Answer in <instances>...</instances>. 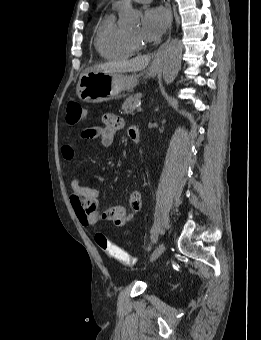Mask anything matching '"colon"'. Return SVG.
Masks as SVG:
<instances>
[{"label":"colon","mask_w":261,"mask_h":340,"mask_svg":"<svg viewBox=\"0 0 261 340\" xmlns=\"http://www.w3.org/2000/svg\"><path fill=\"white\" fill-rule=\"evenodd\" d=\"M87 117L86 108L78 102H70L67 105L66 121L70 125H75ZM94 240L98 247L109 257L125 266H133L136 263L135 257L123 248L112 243L103 233H96Z\"/></svg>","instance_id":"5ec220e1"}]
</instances>
